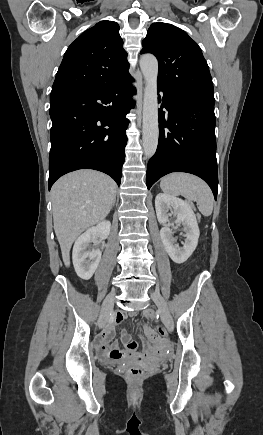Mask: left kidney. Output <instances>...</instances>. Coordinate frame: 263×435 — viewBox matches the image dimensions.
<instances>
[{
	"label": "left kidney",
	"mask_w": 263,
	"mask_h": 435,
	"mask_svg": "<svg viewBox=\"0 0 263 435\" xmlns=\"http://www.w3.org/2000/svg\"><path fill=\"white\" fill-rule=\"evenodd\" d=\"M155 209L158 221L165 224L160 230V237L166 252L175 263H184L196 249L200 235L197 219L191 206L180 198L167 193H159L155 198ZM172 215L176 216V223L184 227L186 238L182 247L176 243L172 230L166 224Z\"/></svg>",
	"instance_id": "5707ae66"
}]
</instances>
